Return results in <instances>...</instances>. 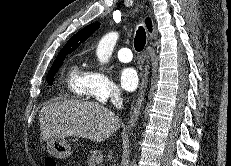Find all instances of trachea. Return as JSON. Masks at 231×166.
<instances>
[{
	"label": "trachea",
	"mask_w": 231,
	"mask_h": 166,
	"mask_svg": "<svg viewBox=\"0 0 231 166\" xmlns=\"http://www.w3.org/2000/svg\"><path fill=\"white\" fill-rule=\"evenodd\" d=\"M146 44V32L143 27H139L134 38V47L137 52H141Z\"/></svg>",
	"instance_id": "trachea-1"
}]
</instances>
